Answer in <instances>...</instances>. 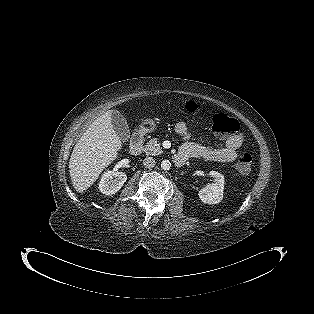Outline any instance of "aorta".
Returning <instances> with one entry per match:
<instances>
[{
  "label": "aorta",
  "instance_id": "obj_1",
  "mask_svg": "<svg viewBox=\"0 0 314 314\" xmlns=\"http://www.w3.org/2000/svg\"><path fill=\"white\" fill-rule=\"evenodd\" d=\"M170 167H171V163H170L169 160H163V161L161 162V168H162L163 170H169Z\"/></svg>",
  "mask_w": 314,
  "mask_h": 314
}]
</instances>
